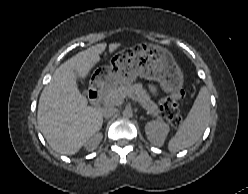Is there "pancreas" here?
Returning a JSON list of instances; mask_svg holds the SVG:
<instances>
[{"label":"pancreas","instance_id":"obj_1","mask_svg":"<svg viewBox=\"0 0 248 194\" xmlns=\"http://www.w3.org/2000/svg\"><path fill=\"white\" fill-rule=\"evenodd\" d=\"M133 95L140 105L146 110L147 114L158 116L157 104L151 100L150 95L142 84H121L109 90L104 96L107 105H120L124 99L123 95ZM160 119V118H159Z\"/></svg>","mask_w":248,"mask_h":194}]
</instances>
